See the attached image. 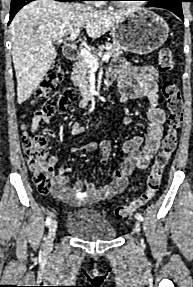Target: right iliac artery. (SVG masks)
I'll return each instance as SVG.
<instances>
[{"instance_id":"obj_1","label":"right iliac artery","mask_w":193,"mask_h":287,"mask_svg":"<svg viewBox=\"0 0 193 287\" xmlns=\"http://www.w3.org/2000/svg\"><path fill=\"white\" fill-rule=\"evenodd\" d=\"M51 219H52V213H50L48 217L46 218V221H45L46 226L50 224Z\"/></svg>"}]
</instances>
